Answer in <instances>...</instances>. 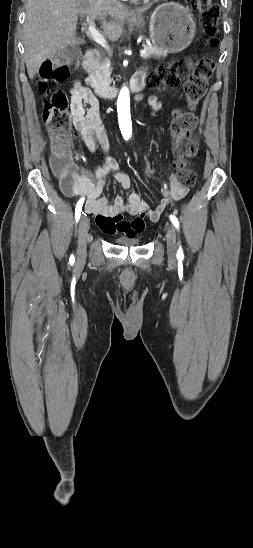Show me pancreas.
Listing matches in <instances>:
<instances>
[{
	"mask_svg": "<svg viewBox=\"0 0 253 548\" xmlns=\"http://www.w3.org/2000/svg\"><path fill=\"white\" fill-rule=\"evenodd\" d=\"M144 48H146V55L143 57L144 59H149L151 57L160 58L167 55V51L155 45H144ZM84 69L89 74L87 82L90 83L92 88L100 90L101 88L109 87L112 81L110 77L112 68L110 67V60L108 58H96L88 61L84 65Z\"/></svg>",
	"mask_w": 253,
	"mask_h": 548,
	"instance_id": "pancreas-1",
	"label": "pancreas"
}]
</instances>
